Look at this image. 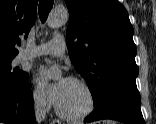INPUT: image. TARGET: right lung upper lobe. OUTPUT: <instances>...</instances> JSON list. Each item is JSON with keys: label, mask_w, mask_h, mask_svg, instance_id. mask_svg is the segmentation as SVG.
<instances>
[{"label": "right lung upper lobe", "mask_w": 156, "mask_h": 124, "mask_svg": "<svg viewBox=\"0 0 156 124\" xmlns=\"http://www.w3.org/2000/svg\"><path fill=\"white\" fill-rule=\"evenodd\" d=\"M37 16V0H0V60L13 59Z\"/></svg>", "instance_id": "obj_1"}]
</instances>
